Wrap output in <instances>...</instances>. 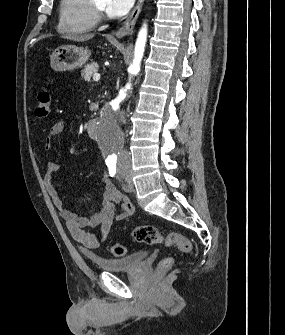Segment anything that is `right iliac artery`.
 Segmentation results:
<instances>
[{
    "instance_id": "right-iliac-artery-1",
    "label": "right iliac artery",
    "mask_w": 285,
    "mask_h": 335,
    "mask_svg": "<svg viewBox=\"0 0 285 335\" xmlns=\"http://www.w3.org/2000/svg\"><path fill=\"white\" fill-rule=\"evenodd\" d=\"M109 174L111 177H113L116 174V165L114 162H108L107 163Z\"/></svg>"
}]
</instances>
